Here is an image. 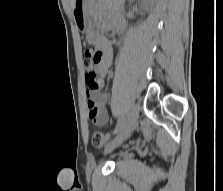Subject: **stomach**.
Wrapping results in <instances>:
<instances>
[{
	"instance_id": "1",
	"label": "stomach",
	"mask_w": 223,
	"mask_h": 191,
	"mask_svg": "<svg viewBox=\"0 0 223 191\" xmlns=\"http://www.w3.org/2000/svg\"><path fill=\"white\" fill-rule=\"evenodd\" d=\"M89 0H75L72 12L77 28L82 32H88L91 29V21L88 15Z\"/></svg>"
}]
</instances>
